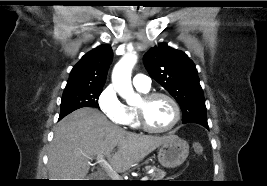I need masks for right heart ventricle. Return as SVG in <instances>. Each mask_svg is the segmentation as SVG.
Returning a JSON list of instances; mask_svg holds the SVG:
<instances>
[{
  "instance_id": "e07e8e85",
  "label": "right heart ventricle",
  "mask_w": 267,
  "mask_h": 186,
  "mask_svg": "<svg viewBox=\"0 0 267 186\" xmlns=\"http://www.w3.org/2000/svg\"><path fill=\"white\" fill-rule=\"evenodd\" d=\"M138 91L142 93H147L148 90H143L140 88H137ZM124 124L128 125L129 127L133 129L139 128L137 113H136V107L125 105L124 106Z\"/></svg>"
}]
</instances>
